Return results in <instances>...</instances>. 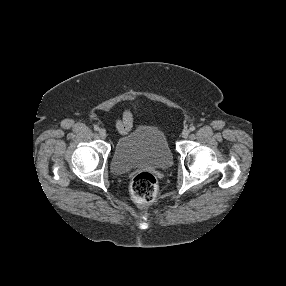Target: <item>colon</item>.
Instances as JSON below:
<instances>
[{"label": "colon", "mask_w": 286, "mask_h": 286, "mask_svg": "<svg viewBox=\"0 0 286 286\" xmlns=\"http://www.w3.org/2000/svg\"><path fill=\"white\" fill-rule=\"evenodd\" d=\"M130 190L133 199L138 203H151L158 193L157 180L149 172L138 173L131 182Z\"/></svg>", "instance_id": "1"}]
</instances>
